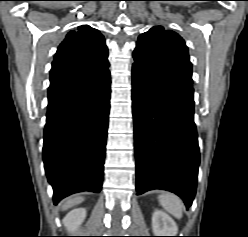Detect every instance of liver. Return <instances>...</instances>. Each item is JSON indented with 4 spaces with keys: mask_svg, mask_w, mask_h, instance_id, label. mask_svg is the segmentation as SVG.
Masks as SVG:
<instances>
[{
    "mask_svg": "<svg viewBox=\"0 0 248 237\" xmlns=\"http://www.w3.org/2000/svg\"><path fill=\"white\" fill-rule=\"evenodd\" d=\"M84 200L82 196H73L68 198L62 205V210H67L68 208L81 203Z\"/></svg>",
    "mask_w": 248,
    "mask_h": 237,
    "instance_id": "1",
    "label": "liver"
}]
</instances>
